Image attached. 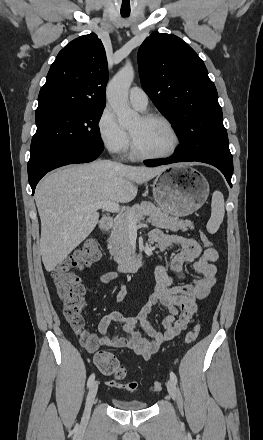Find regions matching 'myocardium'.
Returning <instances> with one entry per match:
<instances>
[{
  "label": "myocardium",
  "mask_w": 263,
  "mask_h": 440,
  "mask_svg": "<svg viewBox=\"0 0 263 440\" xmlns=\"http://www.w3.org/2000/svg\"><path fill=\"white\" fill-rule=\"evenodd\" d=\"M141 119L146 122L159 121V122L163 123L172 134L173 144H172V147L164 153H155V154L146 153L138 147L134 137L129 132L130 148H131L132 155L136 158L147 159V160L165 159V158L172 157L178 151V149L181 145V137H180V134H179L177 128L175 127V125L167 117H165L161 114H156V113L144 114L141 116Z\"/></svg>",
  "instance_id": "obj_1"
}]
</instances>
